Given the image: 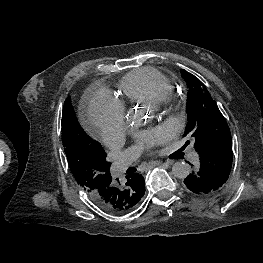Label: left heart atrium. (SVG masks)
I'll list each match as a JSON object with an SVG mask.
<instances>
[{
  "mask_svg": "<svg viewBox=\"0 0 263 263\" xmlns=\"http://www.w3.org/2000/svg\"><path fill=\"white\" fill-rule=\"evenodd\" d=\"M167 137L168 132L164 128H155L139 133L137 136V144L146 150H150L164 142Z\"/></svg>",
  "mask_w": 263,
  "mask_h": 263,
  "instance_id": "1",
  "label": "left heart atrium"
}]
</instances>
